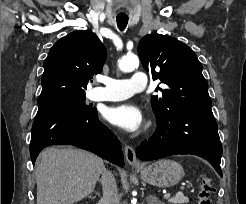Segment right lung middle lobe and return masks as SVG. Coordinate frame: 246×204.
Segmentation results:
<instances>
[{"instance_id": "1", "label": "right lung middle lobe", "mask_w": 246, "mask_h": 204, "mask_svg": "<svg viewBox=\"0 0 246 204\" xmlns=\"http://www.w3.org/2000/svg\"><path fill=\"white\" fill-rule=\"evenodd\" d=\"M44 102H62L68 104H75L80 110L86 112H90L95 109L94 107H91L90 105H87L85 103V92L62 94L46 101H42V102L38 101L39 104Z\"/></svg>"}]
</instances>
